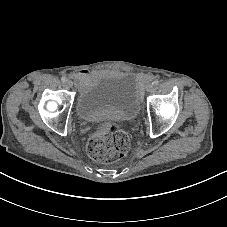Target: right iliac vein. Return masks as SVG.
<instances>
[{"label":"right iliac vein","mask_w":227,"mask_h":227,"mask_svg":"<svg viewBox=\"0 0 227 227\" xmlns=\"http://www.w3.org/2000/svg\"><path fill=\"white\" fill-rule=\"evenodd\" d=\"M66 86H67L68 88H71V87L73 86V82H72L71 80H67V81H66Z\"/></svg>","instance_id":"right-iliac-vein-1"}]
</instances>
